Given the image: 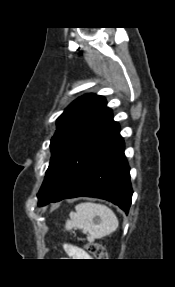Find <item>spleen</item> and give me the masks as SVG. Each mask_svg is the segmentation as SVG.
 Instances as JSON below:
<instances>
[{"label":"spleen","mask_w":175,"mask_h":287,"mask_svg":"<svg viewBox=\"0 0 175 287\" xmlns=\"http://www.w3.org/2000/svg\"><path fill=\"white\" fill-rule=\"evenodd\" d=\"M76 212L70 213L65 229L78 228L88 233V240L103 238L114 232L119 225L115 213L103 204L84 202L75 206ZM99 218V222H96Z\"/></svg>","instance_id":"1"}]
</instances>
